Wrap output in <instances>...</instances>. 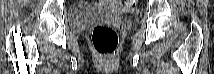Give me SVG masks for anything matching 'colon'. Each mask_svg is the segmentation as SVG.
I'll list each match as a JSON object with an SVG mask.
<instances>
[{
	"mask_svg": "<svg viewBox=\"0 0 214 74\" xmlns=\"http://www.w3.org/2000/svg\"><path fill=\"white\" fill-rule=\"evenodd\" d=\"M136 0H125V7L132 9L135 7ZM92 42L96 51L103 55H111L118 45V33L114 27L108 25H97L92 32Z\"/></svg>",
	"mask_w": 214,
	"mask_h": 74,
	"instance_id": "colon-1",
	"label": "colon"
}]
</instances>
